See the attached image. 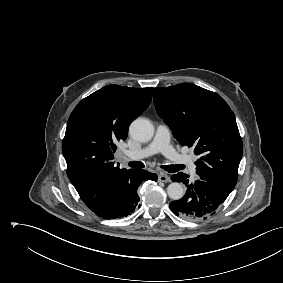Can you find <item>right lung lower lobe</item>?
<instances>
[{"label": "right lung lower lobe", "mask_w": 283, "mask_h": 283, "mask_svg": "<svg viewBox=\"0 0 283 283\" xmlns=\"http://www.w3.org/2000/svg\"><path fill=\"white\" fill-rule=\"evenodd\" d=\"M146 179L157 181L158 176L145 170H134L125 193L92 211L103 218H121L129 215L135 210L140 200L137 188Z\"/></svg>", "instance_id": "right-lung-lower-lobe-1"}]
</instances>
